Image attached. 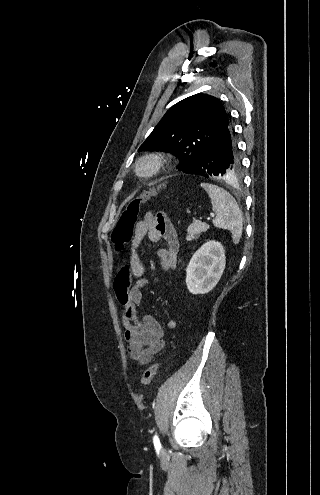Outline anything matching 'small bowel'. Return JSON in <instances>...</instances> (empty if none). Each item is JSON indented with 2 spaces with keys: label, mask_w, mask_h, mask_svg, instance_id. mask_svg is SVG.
Listing matches in <instances>:
<instances>
[{
  "label": "small bowel",
  "mask_w": 320,
  "mask_h": 495,
  "mask_svg": "<svg viewBox=\"0 0 320 495\" xmlns=\"http://www.w3.org/2000/svg\"><path fill=\"white\" fill-rule=\"evenodd\" d=\"M147 237L152 243L164 240L166 248H159L157 254L164 271L176 268L179 240L176 229L163 212H147L134 227V238L130 247L129 265L123 267L116 277L115 289L121 304L124 326V338L128 346L129 357L141 364L150 363L153 357L165 347L164 330L161 324L150 314H141L142 289L146 285L145 267L140 259L138 248ZM131 277L136 278L131 283ZM178 322L170 319L166 323L169 330H174Z\"/></svg>",
  "instance_id": "obj_1"
}]
</instances>
